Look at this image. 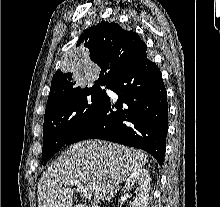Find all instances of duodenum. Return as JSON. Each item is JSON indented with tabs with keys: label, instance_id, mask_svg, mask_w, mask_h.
I'll use <instances>...</instances> for the list:
<instances>
[{
	"label": "duodenum",
	"instance_id": "410a0bca",
	"mask_svg": "<svg viewBox=\"0 0 220 207\" xmlns=\"http://www.w3.org/2000/svg\"><path fill=\"white\" fill-rule=\"evenodd\" d=\"M76 207H99V206H95V205H92V206L77 205Z\"/></svg>",
	"mask_w": 220,
	"mask_h": 207
}]
</instances>
